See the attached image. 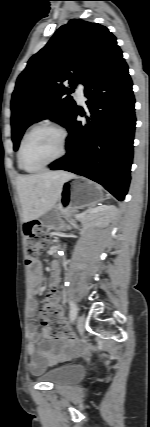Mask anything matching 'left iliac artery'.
Masks as SVG:
<instances>
[{
	"label": "left iliac artery",
	"instance_id": "1",
	"mask_svg": "<svg viewBox=\"0 0 150 427\" xmlns=\"http://www.w3.org/2000/svg\"><path fill=\"white\" fill-rule=\"evenodd\" d=\"M68 303L70 305V314H69L70 321L73 322L77 316V307L75 303L71 300H68Z\"/></svg>",
	"mask_w": 150,
	"mask_h": 427
}]
</instances>
